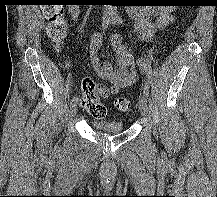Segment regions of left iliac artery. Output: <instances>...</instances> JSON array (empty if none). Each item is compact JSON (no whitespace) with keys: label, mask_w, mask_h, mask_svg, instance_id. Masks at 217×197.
Returning a JSON list of instances; mask_svg holds the SVG:
<instances>
[{"label":"left iliac artery","mask_w":217,"mask_h":197,"mask_svg":"<svg viewBox=\"0 0 217 197\" xmlns=\"http://www.w3.org/2000/svg\"><path fill=\"white\" fill-rule=\"evenodd\" d=\"M137 65L139 67V69L141 70V72L143 73V75L145 76V81H144V85L142 87V93L143 96L148 99L149 96V84H148V77L151 73V62L148 59L145 58H139L137 60Z\"/></svg>","instance_id":"44dca946"}]
</instances>
